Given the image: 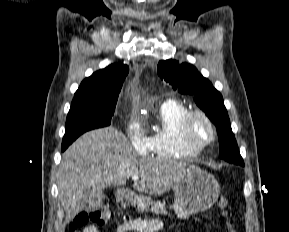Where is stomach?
<instances>
[{"label":"stomach","instance_id":"0dacf381","mask_svg":"<svg viewBox=\"0 0 289 232\" xmlns=\"http://www.w3.org/2000/svg\"><path fill=\"white\" fill-rule=\"evenodd\" d=\"M175 198L173 210L179 218H186L192 214L205 211L217 201L220 186L213 175L198 167L191 168L174 188ZM117 200L123 204H132L139 212H145L152 204V200L145 196H133L131 193L119 192Z\"/></svg>","mask_w":289,"mask_h":232}]
</instances>
